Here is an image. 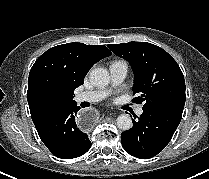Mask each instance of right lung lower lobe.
Wrapping results in <instances>:
<instances>
[{
	"label": "right lung lower lobe",
	"instance_id": "98d812e1",
	"mask_svg": "<svg viewBox=\"0 0 209 179\" xmlns=\"http://www.w3.org/2000/svg\"><path fill=\"white\" fill-rule=\"evenodd\" d=\"M79 109L76 103L64 107L36 128L42 142L59 158L79 157L91 147L88 135L81 131L75 121Z\"/></svg>",
	"mask_w": 209,
	"mask_h": 179
}]
</instances>
